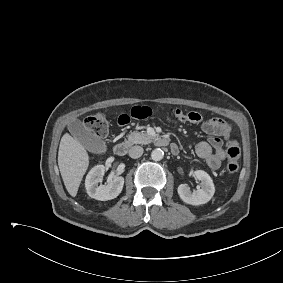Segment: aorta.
<instances>
[{
    "mask_svg": "<svg viewBox=\"0 0 283 283\" xmlns=\"http://www.w3.org/2000/svg\"><path fill=\"white\" fill-rule=\"evenodd\" d=\"M163 157H164V152H163V150L160 149V148L154 149V150L152 151V153H151V158H152V160H154V161H160V160L163 159Z\"/></svg>",
    "mask_w": 283,
    "mask_h": 283,
    "instance_id": "aorta-1",
    "label": "aorta"
}]
</instances>
